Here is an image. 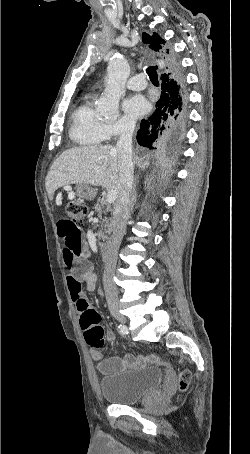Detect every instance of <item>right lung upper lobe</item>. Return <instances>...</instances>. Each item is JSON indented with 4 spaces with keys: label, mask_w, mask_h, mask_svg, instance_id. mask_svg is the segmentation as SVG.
<instances>
[{
    "label": "right lung upper lobe",
    "mask_w": 250,
    "mask_h": 454,
    "mask_svg": "<svg viewBox=\"0 0 250 454\" xmlns=\"http://www.w3.org/2000/svg\"><path fill=\"white\" fill-rule=\"evenodd\" d=\"M142 39L145 44L149 45V48H151L154 52H156L159 56V58L163 61L164 63V68L163 70L165 72L169 71L172 69V64L168 59V53H167V46H165V41L159 37L158 34L154 33L153 36H150L146 33L142 34Z\"/></svg>",
    "instance_id": "1"
}]
</instances>
